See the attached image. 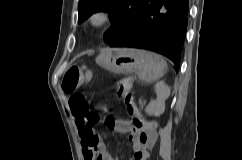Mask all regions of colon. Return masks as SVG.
Wrapping results in <instances>:
<instances>
[{
    "instance_id": "obj_1",
    "label": "colon",
    "mask_w": 242,
    "mask_h": 160,
    "mask_svg": "<svg viewBox=\"0 0 242 160\" xmlns=\"http://www.w3.org/2000/svg\"><path fill=\"white\" fill-rule=\"evenodd\" d=\"M90 79V73L84 66H71L65 73L62 81V89L66 93H72L69 106L72 114L79 119V125L88 130L83 131V137L88 142H94L97 135L94 124L99 121L100 116L90 110L87 98L77 90ZM116 93L123 99L127 113L132 117L140 114L132 95V81L129 77L122 78L116 84ZM141 115V114H140Z\"/></svg>"
}]
</instances>
